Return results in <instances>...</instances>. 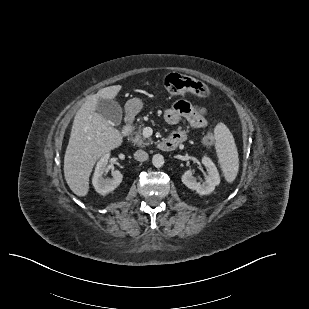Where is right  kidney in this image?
Instances as JSON below:
<instances>
[{"instance_id": "obj_1", "label": "right kidney", "mask_w": 309, "mask_h": 309, "mask_svg": "<svg viewBox=\"0 0 309 309\" xmlns=\"http://www.w3.org/2000/svg\"><path fill=\"white\" fill-rule=\"evenodd\" d=\"M109 154H105L98 161L93 175L92 183L95 190L101 195H106L115 190L122 182V174L119 170L112 171V178H104L103 175L107 172Z\"/></svg>"}]
</instances>
